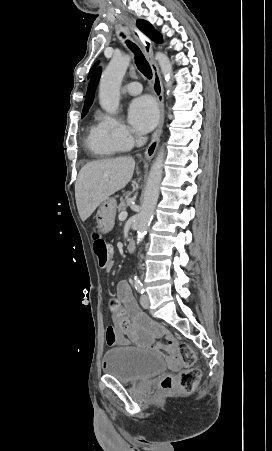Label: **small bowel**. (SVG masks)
<instances>
[{"mask_svg":"<svg viewBox=\"0 0 272 451\" xmlns=\"http://www.w3.org/2000/svg\"><path fill=\"white\" fill-rule=\"evenodd\" d=\"M113 266L114 261L111 260L106 269L111 270ZM110 306L114 312V317L123 316L129 321L128 328L123 332H118L122 344L132 342L140 348L158 352L162 349L165 350V344L155 343L154 337H172L176 341L173 335L163 326L141 314L126 281H120L117 284L115 297L111 299ZM155 329L158 330L157 333L154 331Z\"/></svg>","mask_w":272,"mask_h":451,"instance_id":"1","label":"small bowel"}]
</instances>
